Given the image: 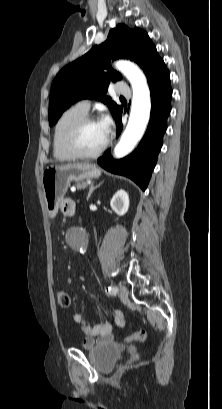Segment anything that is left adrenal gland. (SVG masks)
<instances>
[{
  "label": "left adrenal gland",
  "instance_id": "1",
  "mask_svg": "<svg viewBox=\"0 0 222 409\" xmlns=\"http://www.w3.org/2000/svg\"><path fill=\"white\" fill-rule=\"evenodd\" d=\"M101 184H102V182L99 183L98 185H94V183L91 184V186H90V188H89L87 200H89V198H90L92 192H93L96 188H98Z\"/></svg>",
  "mask_w": 222,
  "mask_h": 409
}]
</instances>
